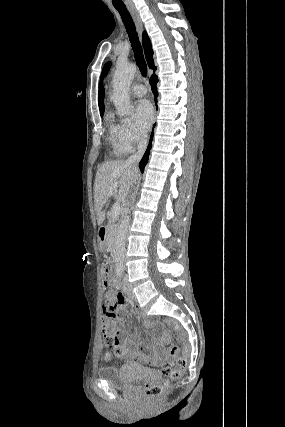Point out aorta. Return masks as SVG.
<instances>
[{
  "label": "aorta",
  "instance_id": "762f6f07",
  "mask_svg": "<svg viewBox=\"0 0 285 427\" xmlns=\"http://www.w3.org/2000/svg\"><path fill=\"white\" fill-rule=\"evenodd\" d=\"M136 73V65L133 63H118L112 80L113 101L119 115L124 116L130 113L132 105L130 102V85ZM130 224V210H127L122 219L116 237L115 244V264L117 268H124V252L127 230Z\"/></svg>",
  "mask_w": 285,
  "mask_h": 427
}]
</instances>
